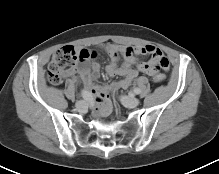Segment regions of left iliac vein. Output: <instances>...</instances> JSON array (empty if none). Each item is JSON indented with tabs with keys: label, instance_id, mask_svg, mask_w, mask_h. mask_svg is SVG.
<instances>
[{
	"label": "left iliac vein",
	"instance_id": "obj_1",
	"mask_svg": "<svg viewBox=\"0 0 219 174\" xmlns=\"http://www.w3.org/2000/svg\"><path fill=\"white\" fill-rule=\"evenodd\" d=\"M120 100L126 107L130 108H134L140 103L139 99L133 96H122Z\"/></svg>",
	"mask_w": 219,
	"mask_h": 174
}]
</instances>
